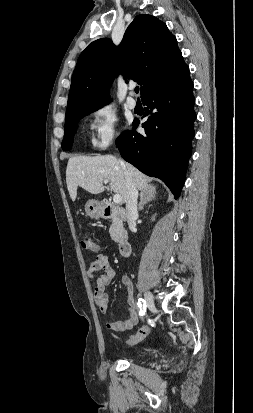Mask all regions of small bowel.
Returning <instances> with one entry per match:
<instances>
[{"label": "small bowel", "mask_w": 253, "mask_h": 413, "mask_svg": "<svg viewBox=\"0 0 253 413\" xmlns=\"http://www.w3.org/2000/svg\"><path fill=\"white\" fill-rule=\"evenodd\" d=\"M88 276L96 278L94 287V300L101 313H106L109 307V298L105 291L106 286L115 276V270L110 265L105 254L100 253L88 268ZM122 284L127 292V311L128 317L123 321L107 322L106 328L115 332H124L132 329L138 322L139 313L134 302L132 291L133 283L129 276L122 277Z\"/></svg>", "instance_id": "c3829d8e"}]
</instances>
